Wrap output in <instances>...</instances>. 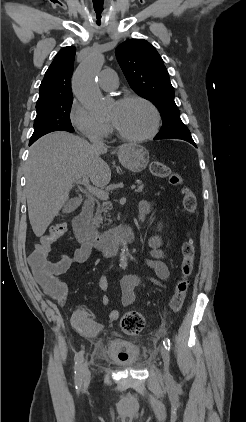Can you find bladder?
<instances>
[{
	"label": "bladder",
	"instance_id": "bladder-1",
	"mask_svg": "<svg viewBox=\"0 0 246 422\" xmlns=\"http://www.w3.org/2000/svg\"><path fill=\"white\" fill-rule=\"evenodd\" d=\"M105 356L121 367L138 368L142 365L141 348L137 344L121 338H111L107 342Z\"/></svg>",
	"mask_w": 246,
	"mask_h": 422
}]
</instances>
